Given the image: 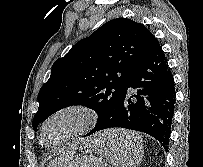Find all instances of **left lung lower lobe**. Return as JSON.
<instances>
[{"label":"left lung lower lobe","mask_w":203,"mask_h":167,"mask_svg":"<svg viewBox=\"0 0 203 167\" xmlns=\"http://www.w3.org/2000/svg\"><path fill=\"white\" fill-rule=\"evenodd\" d=\"M175 83L165 54L157 41L131 70L127 85L111 115L90 135L112 127L144 132L168 150L175 109ZM103 148H121L122 143L101 142Z\"/></svg>","instance_id":"obj_1"}]
</instances>
